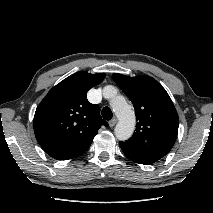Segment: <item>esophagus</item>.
Wrapping results in <instances>:
<instances>
[{
  "label": "esophagus",
  "mask_w": 213,
  "mask_h": 213,
  "mask_svg": "<svg viewBox=\"0 0 213 213\" xmlns=\"http://www.w3.org/2000/svg\"><path fill=\"white\" fill-rule=\"evenodd\" d=\"M116 123H117V119L113 118L112 120L109 121V126L114 127Z\"/></svg>",
  "instance_id": "obj_1"
}]
</instances>
